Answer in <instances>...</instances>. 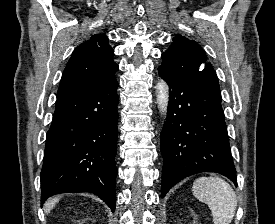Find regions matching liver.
<instances>
[{
	"instance_id": "1",
	"label": "liver",
	"mask_w": 275,
	"mask_h": 224,
	"mask_svg": "<svg viewBox=\"0 0 275 224\" xmlns=\"http://www.w3.org/2000/svg\"><path fill=\"white\" fill-rule=\"evenodd\" d=\"M59 199H50L45 203L44 209L46 213H49L51 209L55 206Z\"/></svg>"
}]
</instances>
